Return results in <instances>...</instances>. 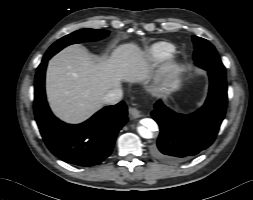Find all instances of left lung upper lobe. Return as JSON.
<instances>
[{"label": "left lung upper lobe", "mask_w": 253, "mask_h": 200, "mask_svg": "<svg viewBox=\"0 0 253 200\" xmlns=\"http://www.w3.org/2000/svg\"><path fill=\"white\" fill-rule=\"evenodd\" d=\"M194 42V55L193 59L195 64L205 70H211L225 74V67L222 64L216 49L207 40L193 36Z\"/></svg>", "instance_id": "left-lung-upper-lobe-1"}]
</instances>
